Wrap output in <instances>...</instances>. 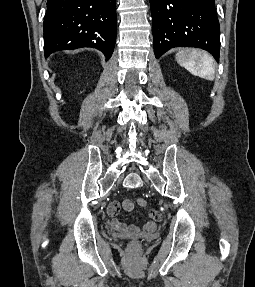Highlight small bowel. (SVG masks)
Here are the masks:
<instances>
[{
  "label": "small bowel",
  "instance_id": "small-bowel-1",
  "mask_svg": "<svg viewBox=\"0 0 255 287\" xmlns=\"http://www.w3.org/2000/svg\"><path fill=\"white\" fill-rule=\"evenodd\" d=\"M133 202L129 199H124L123 201H114L107 207V212L111 217L117 216L120 209L129 212L133 209ZM150 220L142 226L137 225H126L117 218H113L110 226L112 230L119 234L133 235L138 233H152L156 229V224L163 219V215L160 211L152 209L149 211Z\"/></svg>",
  "mask_w": 255,
  "mask_h": 287
}]
</instances>
